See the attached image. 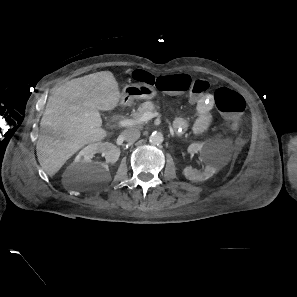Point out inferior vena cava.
<instances>
[{
  "label": "inferior vena cava",
  "mask_w": 297,
  "mask_h": 297,
  "mask_svg": "<svg viewBox=\"0 0 297 297\" xmlns=\"http://www.w3.org/2000/svg\"><path fill=\"white\" fill-rule=\"evenodd\" d=\"M140 137V131L137 128H128L122 131L119 135L121 141L133 142Z\"/></svg>",
  "instance_id": "1"
}]
</instances>
